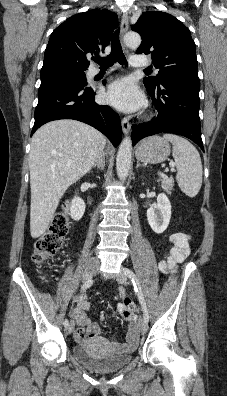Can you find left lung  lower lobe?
Returning a JSON list of instances; mask_svg holds the SVG:
<instances>
[{
    "instance_id": "1",
    "label": "left lung lower lobe",
    "mask_w": 227,
    "mask_h": 396,
    "mask_svg": "<svg viewBox=\"0 0 227 396\" xmlns=\"http://www.w3.org/2000/svg\"><path fill=\"white\" fill-rule=\"evenodd\" d=\"M157 108L152 121L132 126L133 146L158 133H174L194 141L203 151L200 129V82L170 78L157 88L146 87Z\"/></svg>"
}]
</instances>
